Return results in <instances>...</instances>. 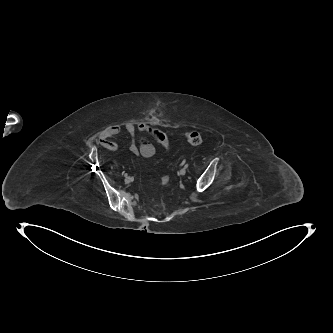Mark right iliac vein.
<instances>
[{"mask_svg": "<svg viewBox=\"0 0 333 333\" xmlns=\"http://www.w3.org/2000/svg\"><path fill=\"white\" fill-rule=\"evenodd\" d=\"M125 180L128 182L127 184H129L133 181L132 177H127Z\"/></svg>", "mask_w": 333, "mask_h": 333, "instance_id": "obj_1", "label": "right iliac vein"}]
</instances>
